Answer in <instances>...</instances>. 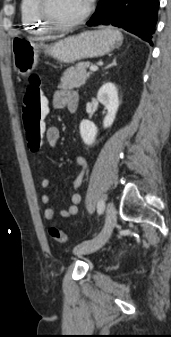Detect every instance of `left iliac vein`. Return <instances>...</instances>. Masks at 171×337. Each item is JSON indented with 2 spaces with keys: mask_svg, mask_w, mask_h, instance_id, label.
I'll list each match as a JSON object with an SVG mask.
<instances>
[{
  "mask_svg": "<svg viewBox=\"0 0 171 337\" xmlns=\"http://www.w3.org/2000/svg\"><path fill=\"white\" fill-rule=\"evenodd\" d=\"M116 225V209L112 202L106 207V222L103 230L95 238L77 245L73 252L75 255L90 254L105 245Z\"/></svg>",
  "mask_w": 171,
  "mask_h": 337,
  "instance_id": "obj_1",
  "label": "left iliac vein"
}]
</instances>
